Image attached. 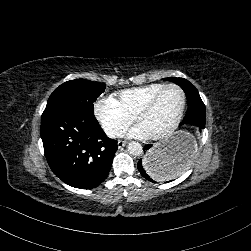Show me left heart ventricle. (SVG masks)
Segmentation results:
<instances>
[{
    "label": "left heart ventricle",
    "mask_w": 251,
    "mask_h": 251,
    "mask_svg": "<svg viewBox=\"0 0 251 251\" xmlns=\"http://www.w3.org/2000/svg\"><path fill=\"white\" fill-rule=\"evenodd\" d=\"M182 105V93L177 89H169L162 94L151 110L138 113L137 119L146 123L157 134L178 119Z\"/></svg>",
    "instance_id": "obj_1"
}]
</instances>
